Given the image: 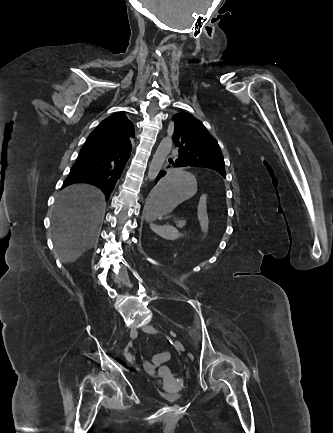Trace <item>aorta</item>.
<instances>
[{"instance_id": "obj_1", "label": "aorta", "mask_w": 333, "mask_h": 433, "mask_svg": "<svg viewBox=\"0 0 333 433\" xmlns=\"http://www.w3.org/2000/svg\"><path fill=\"white\" fill-rule=\"evenodd\" d=\"M171 148L172 141L170 138L163 139L159 144L148 171V179L150 181L154 180L157 177L159 171L162 168V165L164 164L165 159L171 151Z\"/></svg>"}]
</instances>
